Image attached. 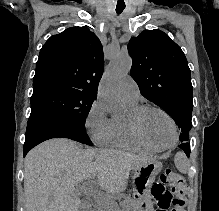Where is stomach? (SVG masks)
Wrapping results in <instances>:
<instances>
[{"label": "stomach", "mask_w": 219, "mask_h": 211, "mask_svg": "<svg viewBox=\"0 0 219 211\" xmlns=\"http://www.w3.org/2000/svg\"><path fill=\"white\" fill-rule=\"evenodd\" d=\"M161 170L162 163L158 160L150 161L134 170L133 183L137 211H153L148 190Z\"/></svg>", "instance_id": "1"}]
</instances>
